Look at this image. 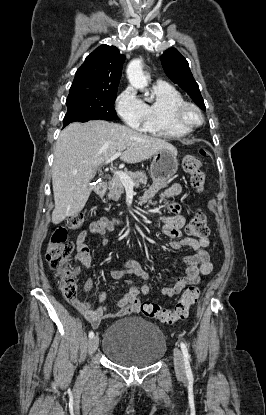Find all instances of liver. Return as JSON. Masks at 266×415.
<instances>
[{"mask_svg": "<svg viewBox=\"0 0 266 415\" xmlns=\"http://www.w3.org/2000/svg\"><path fill=\"white\" fill-rule=\"evenodd\" d=\"M160 149L177 154V149L165 140L117 123L93 120L68 125L60 133L54 152L52 223L59 224L84 208L93 189L90 181L113 154L124 151L122 161L138 163Z\"/></svg>", "mask_w": 266, "mask_h": 415, "instance_id": "1", "label": "liver"}]
</instances>
